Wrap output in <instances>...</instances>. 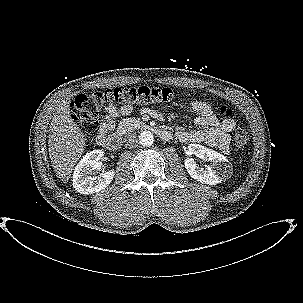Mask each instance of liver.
Instances as JSON below:
<instances>
[{
  "label": "liver",
  "mask_w": 303,
  "mask_h": 303,
  "mask_svg": "<svg viewBox=\"0 0 303 303\" xmlns=\"http://www.w3.org/2000/svg\"><path fill=\"white\" fill-rule=\"evenodd\" d=\"M70 97H65L56 107L52 118L48 146L56 176L67 182L81 157L86 139L70 115Z\"/></svg>",
  "instance_id": "1"
}]
</instances>
